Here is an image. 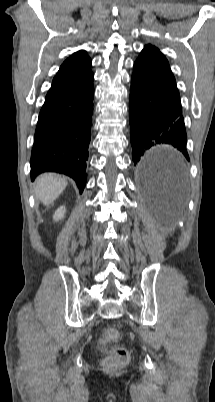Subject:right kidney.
I'll use <instances>...</instances> for the list:
<instances>
[{
  "instance_id": "right-kidney-1",
  "label": "right kidney",
  "mask_w": 215,
  "mask_h": 402,
  "mask_svg": "<svg viewBox=\"0 0 215 402\" xmlns=\"http://www.w3.org/2000/svg\"><path fill=\"white\" fill-rule=\"evenodd\" d=\"M64 214H65V207L61 206L55 211L53 218L55 221H58L64 217Z\"/></svg>"
}]
</instances>
